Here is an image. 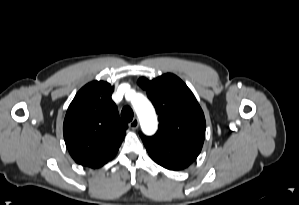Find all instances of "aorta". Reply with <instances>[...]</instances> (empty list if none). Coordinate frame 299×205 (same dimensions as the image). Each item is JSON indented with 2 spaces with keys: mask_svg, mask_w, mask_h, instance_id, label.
Masks as SVG:
<instances>
[{
  "mask_svg": "<svg viewBox=\"0 0 299 205\" xmlns=\"http://www.w3.org/2000/svg\"><path fill=\"white\" fill-rule=\"evenodd\" d=\"M132 103L143 132L148 135L155 133L157 129V117L151 103L142 95H136Z\"/></svg>",
  "mask_w": 299,
  "mask_h": 205,
  "instance_id": "1",
  "label": "aorta"
}]
</instances>
